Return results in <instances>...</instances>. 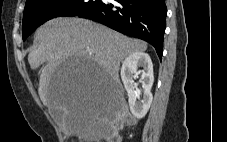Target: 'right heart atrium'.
<instances>
[{"label": "right heart atrium", "mask_w": 227, "mask_h": 142, "mask_svg": "<svg viewBox=\"0 0 227 142\" xmlns=\"http://www.w3.org/2000/svg\"><path fill=\"white\" fill-rule=\"evenodd\" d=\"M61 4L64 8H70L72 6V1L63 0V1H61Z\"/></svg>", "instance_id": "1"}]
</instances>
